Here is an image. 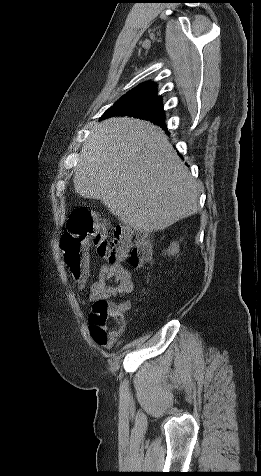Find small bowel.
<instances>
[{
	"instance_id": "obj_1",
	"label": "small bowel",
	"mask_w": 261,
	"mask_h": 476,
	"mask_svg": "<svg viewBox=\"0 0 261 476\" xmlns=\"http://www.w3.org/2000/svg\"><path fill=\"white\" fill-rule=\"evenodd\" d=\"M134 288L132 273L120 262H111L101 267L98 280L90 287L89 298L94 304L113 296L130 294ZM120 305L124 310L129 308L128 302Z\"/></svg>"
}]
</instances>
